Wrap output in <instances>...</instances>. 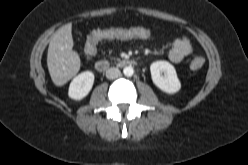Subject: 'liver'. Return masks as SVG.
Segmentation results:
<instances>
[{"label": "liver", "instance_id": "1", "mask_svg": "<svg viewBox=\"0 0 248 165\" xmlns=\"http://www.w3.org/2000/svg\"><path fill=\"white\" fill-rule=\"evenodd\" d=\"M80 57L73 51L72 24L67 23L51 37L47 66L56 86H62L74 77L80 69Z\"/></svg>", "mask_w": 248, "mask_h": 165}]
</instances>
